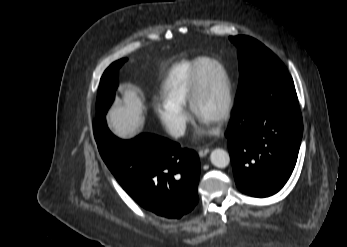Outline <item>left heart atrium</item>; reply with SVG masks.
Here are the masks:
<instances>
[{"instance_id":"39dd6f15","label":"left heart atrium","mask_w":347,"mask_h":247,"mask_svg":"<svg viewBox=\"0 0 347 247\" xmlns=\"http://www.w3.org/2000/svg\"><path fill=\"white\" fill-rule=\"evenodd\" d=\"M200 121L205 125V127L200 131L201 133H206L207 127L212 124V121L200 118Z\"/></svg>"}]
</instances>
